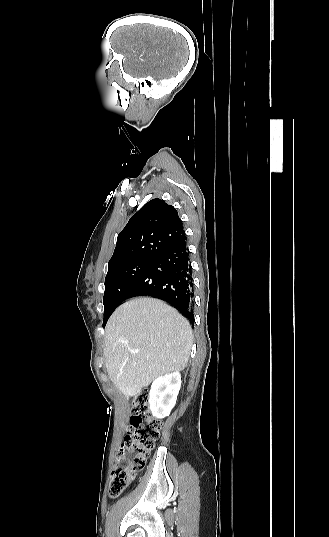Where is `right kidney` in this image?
Masks as SVG:
<instances>
[{
	"label": "right kidney",
	"instance_id": "obj_1",
	"mask_svg": "<svg viewBox=\"0 0 329 537\" xmlns=\"http://www.w3.org/2000/svg\"><path fill=\"white\" fill-rule=\"evenodd\" d=\"M181 386V374L171 372L156 378L149 392L150 410L158 419L168 416L176 403Z\"/></svg>",
	"mask_w": 329,
	"mask_h": 537
}]
</instances>
